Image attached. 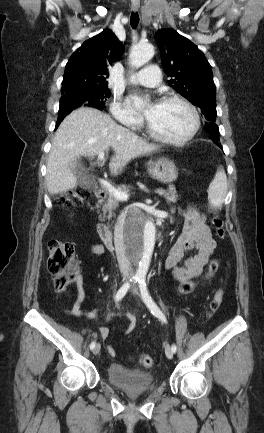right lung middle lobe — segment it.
<instances>
[{
	"instance_id": "dd1d6c3e",
	"label": "right lung middle lobe",
	"mask_w": 264,
	"mask_h": 433,
	"mask_svg": "<svg viewBox=\"0 0 264 433\" xmlns=\"http://www.w3.org/2000/svg\"><path fill=\"white\" fill-rule=\"evenodd\" d=\"M110 95L111 92L107 86L70 92L61 97L58 120L63 119L73 109L81 106H91L102 110L105 107L106 99Z\"/></svg>"
}]
</instances>
